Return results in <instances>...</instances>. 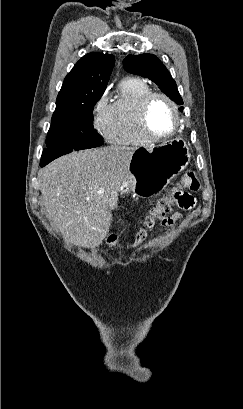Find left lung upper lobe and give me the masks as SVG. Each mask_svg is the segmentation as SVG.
<instances>
[{"mask_svg": "<svg viewBox=\"0 0 243 409\" xmlns=\"http://www.w3.org/2000/svg\"><path fill=\"white\" fill-rule=\"evenodd\" d=\"M123 67L127 72L141 75L155 82L168 97L177 104H183L178 92L177 85L169 71L161 61L153 54L128 55L123 61ZM184 108L181 107L182 111Z\"/></svg>", "mask_w": 243, "mask_h": 409, "instance_id": "obj_1", "label": "left lung upper lobe"}]
</instances>
